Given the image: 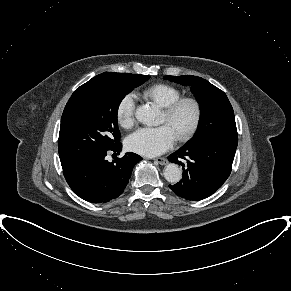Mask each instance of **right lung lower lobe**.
<instances>
[{"instance_id":"right-lung-lower-lobe-1","label":"right lung lower lobe","mask_w":291,"mask_h":291,"mask_svg":"<svg viewBox=\"0 0 291 291\" xmlns=\"http://www.w3.org/2000/svg\"><path fill=\"white\" fill-rule=\"evenodd\" d=\"M121 143L79 158L63 169L64 177L71 189L82 199L104 203L119 197L129 182L133 167L142 157L126 153L112 163L106 160L109 152H120ZM119 154V153H118Z\"/></svg>"}]
</instances>
